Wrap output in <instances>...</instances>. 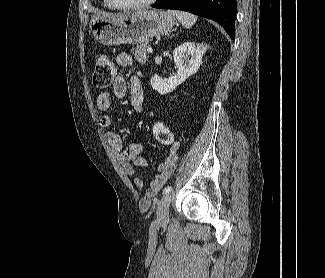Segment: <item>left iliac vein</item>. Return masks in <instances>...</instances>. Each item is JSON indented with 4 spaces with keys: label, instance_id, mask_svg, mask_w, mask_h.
<instances>
[{
    "label": "left iliac vein",
    "instance_id": "1",
    "mask_svg": "<svg viewBox=\"0 0 325 278\" xmlns=\"http://www.w3.org/2000/svg\"><path fill=\"white\" fill-rule=\"evenodd\" d=\"M171 202V194L166 193L162 196L157 207V222L165 224L169 218V205Z\"/></svg>",
    "mask_w": 325,
    "mask_h": 278
}]
</instances>
